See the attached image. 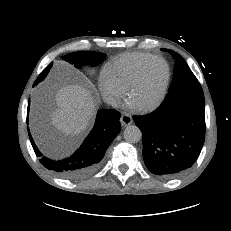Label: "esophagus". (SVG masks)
<instances>
[{
  "label": "esophagus",
  "mask_w": 231,
  "mask_h": 231,
  "mask_svg": "<svg viewBox=\"0 0 231 231\" xmlns=\"http://www.w3.org/2000/svg\"><path fill=\"white\" fill-rule=\"evenodd\" d=\"M120 122H121V125L123 127H126V126L132 124L133 119H132L131 115H129V114H123L120 118Z\"/></svg>",
  "instance_id": "obj_1"
}]
</instances>
